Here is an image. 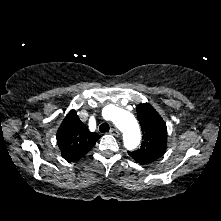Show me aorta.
Here are the masks:
<instances>
[{
    "mask_svg": "<svg viewBox=\"0 0 221 221\" xmlns=\"http://www.w3.org/2000/svg\"><path fill=\"white\" fill-rule=\"evenodd\" d=\"M111 120L122 131L125 147L129 150L136 148L141 137L135 117L126 110L115 108Z\"/></svg>",
    "mask_w": 221,
    "mask_h": 221,
    "instance_id": "obj_1",
    "label": "aorta"
}]
</instances>
